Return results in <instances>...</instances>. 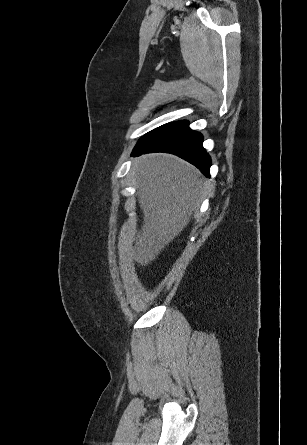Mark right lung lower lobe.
I'll use <instances>...</instances> for the list:
<instances>
[{"label": "right lung lower lobe", "mask_w": 307, "mask_h": 445, "mask_svg": "<svg viewBox=\"0 0 307 445\" xmlns=\"http://www.w3.org/2000/svg\"><path fill=\"white\" fill-rule=\"evenodd\" d=\"M188 121H178L162 125L145 134L137 143L132 156L151 152H166L177 155L192 163L210 177V156L202 147L203 137L192 131Z\"/></svg>", "instance_id": "1"}]
</instances>
